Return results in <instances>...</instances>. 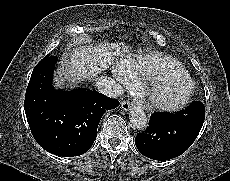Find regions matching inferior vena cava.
Returning a JSON list of instances; mask_svg holds the SVG:
<instances>
[{
    "label": "inferior vena cava",
    "mask_w": 230,
    "mask_h": 181,
    "mask_svg": "<svg viewBox=\"0 0 230 181\" xmlns=\"http://www.w3.org/2000/svg\"><path fill=\"white\" fill-rule=\"evenodd\" d=\"M97 90L111 98H118L122 95L123 90L113 78L108 76H101L95 80Z\"/></svg>",
    "instance_id": "inferior-vena-cava-1"
}]
</instances>
